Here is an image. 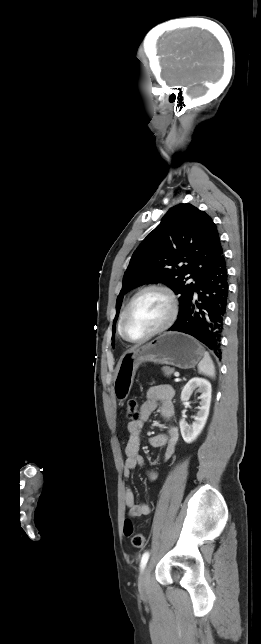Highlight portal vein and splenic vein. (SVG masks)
Instances as JSON below:
<instances>
[{"instance_id": "18ae733b", "label": "portal vein and splenic vein", "mask_w": 261, "mask_h": 644, "mask_svg": "<svg viewBox=\"0 0 261 644\" xmlns=\"http://www.w3.org/2000/svg\"><path fill=\"white\" fill-rule=\"evenodd\" d=\"M174 376H175V377H179V373H178V372H175V373H174Z\"/></svg>"}]
</instances>
